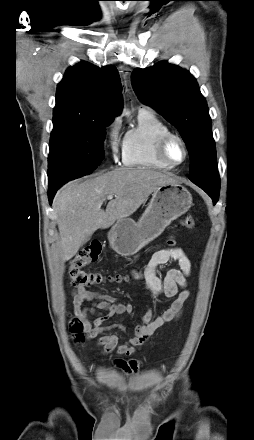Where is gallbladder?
<instances>
[{
	"instance_id": "1",
	"label": "gallbladder",
	"mask_w": 254,
	"mask_h": 440,
	"mask_svg": "<svg viewBox=\"0 0 254 440\" xmlns=\"http://www.w3.org/2000/svg\"><path fill=\"white\" fill-rule=\"evenodd\" d=\"M89 239H90V235H86L82 242V245H84Z\"/></svg>"
}]
</instances>
